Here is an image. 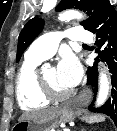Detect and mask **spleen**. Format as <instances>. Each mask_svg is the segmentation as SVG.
<instances>
[{
	"instance_id": "spleen-1",
	"label": "spleen",
	"mask_w": 117,
	"mask_h": 131,
	"mask_svg": "<svg viewBox=\"0 0 117 131\" xmlns=\"http://www.w3.org/2000/svg\"><path fill=\"white\" fill-rule=\"evenodd\" d=\"M105 121V117L102 115H94L91 116L88 120V123H98V122H103Z\"/></svg>"
}]
</instances>
